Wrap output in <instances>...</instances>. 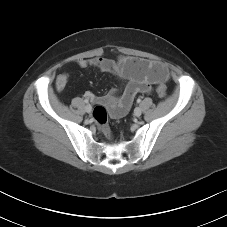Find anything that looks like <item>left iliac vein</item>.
Returning a JSON list of instances; mask_svg holds the SVG:
<instances>
[{
    "mask_svg": "<svg viewBox=\"0 0 227 227\" xmlns=\"http://www.w3.org/2000/svg\"><path fill=\"white\" fill-rule=\"evenodd\" d=\"M141 114H142L141 108H140V107H136V108L134 109V115H135L136 117H139V116H141Z\"/></svg>",
    "mask_w": 227,
    "mask_h": 227,
    "instance_id": "obj_1",
    "label": "left iliac vein"
}]
</instances>
